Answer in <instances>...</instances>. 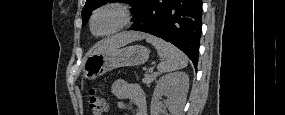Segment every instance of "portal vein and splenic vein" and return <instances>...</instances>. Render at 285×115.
<instances>
[{"label":"portal vein and splenic vein","instance_id":"1","mask_svg":"<svg viewBox=\"0 0 285 115\" xmlns=\"http://www.w3.org/2000/svg\"><path fill=\"white\" fill-rule=\"evenodd\" d=\"M154 67L149 68V72H153Z\"/></svg>","mask_w":285,"mask_h":115}]
</instances>
